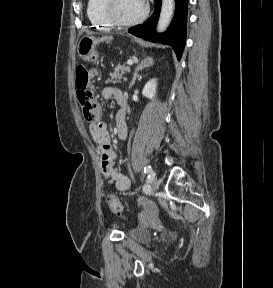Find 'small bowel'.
I'll list each match as a JSON object with an SVG mask.
<instances>
[{"mask_svg": "<svg viewBox=\"0 0 273 288\" xmlns=\"http://www.w3.org/2000/svg\"><path fill=\"white\" fill-rule=\"evenodd\" d=\"M102 97L105 100L114 98L119 103L120 98L124 97V95L117 87H107L102 91ZM89 131L98 145L104 177L109 183L113 184L117 190L127 191L131 186V182L126 175L117 169L116 154L110 143L107 125L104 122L97 121L90 124ZM116 132L120 139L126 137L127 125L125 117L121 118L120 113L116 117Z\"/></svg>", "mask_w": 273, "mask_h": 288, "instance_id": "c3829d8e", "label": "small bowel"}]
</instances>
